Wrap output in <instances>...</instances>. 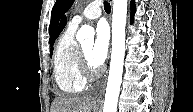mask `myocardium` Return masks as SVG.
I'll use <instances>...</instances> for the list:
<instances>
[{
  "instance_id": "f54148a6",
  "label": "myocardium",
  "mask_w": 193,
  "mask_h": 112,
  "mask_svg": "<svg viewBox=\"0 0 193 112\" xmlns=\"http://www.w3.org/2000/svg\"><path fill=\"white\" fill-rule=\"evenodd\" d=\"M78 67L80 74L86 81L95 80L102 73V68L100 67L93 68L89 64L87 57L84 53V50L82 49V46L78 47Z\"/></svg>"
}]
</instances>
